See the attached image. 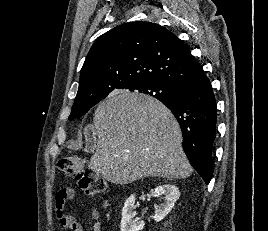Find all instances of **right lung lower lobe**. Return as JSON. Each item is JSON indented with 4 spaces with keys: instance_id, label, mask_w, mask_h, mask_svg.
<instances>
[{
    "instance_id": "obj_1",
    "label": "right lung lower lobe",
    "mask_w": 268,
    "mask_h": 231,
    "mask_svg": "<svg viewBox=\"0 0 268 231\" xmlns=\"http://www.w3.org/2000/svg\"><path fill=\"white\" fill-rule=\"evenodd\" d=\"M176 117L183 134V149L191 165L208 184L213 172L216 135V100L209 78H199L175 88L171 98L159 99Z\"/></svg>"
}]
</instances>
